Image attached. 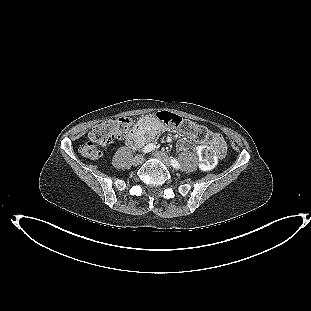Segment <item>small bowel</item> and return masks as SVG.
<instances>
[{"instance_id":"c3829d8e","label":"small bowel","mask_w":311,"mask_h":311,"mask_svg":"<svg viewBox=\"0 0 311 311\" xmlns=\"http://www.w3.org/2000/svg\"><path fill=\"white\" fill-rule=\"evenodd\" d=\"M166 130L167 127L157 118L147 115L139 120L137 127L128 136L126 142L130 147L136 149L141 147L145 141L153 140L158 134ZM216 136L221 138L219 134H216ZM189 143L190 140L188 139L180 140L177 143V148L184 150Z\"/></svg>"}]
</instances>
